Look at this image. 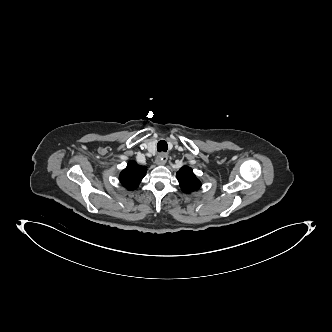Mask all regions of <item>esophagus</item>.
<instances>
[{
    "instance_id": "1",
    "label": "esophagus",
    "mask_w": 332,
    "mask_h": 332,
    "mask_svg": "<svg viewBox=\"0 0 332 332\" xmlns=\"http://www.w3.org/2000/svg\"><path fill=\"white\" fill-rule=\"evenodd\" d=\"M168 159V155L166 153H160L157 157H156V163L158 165H164L167 162Z\"/></svg>"
}]
</instances>
